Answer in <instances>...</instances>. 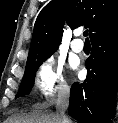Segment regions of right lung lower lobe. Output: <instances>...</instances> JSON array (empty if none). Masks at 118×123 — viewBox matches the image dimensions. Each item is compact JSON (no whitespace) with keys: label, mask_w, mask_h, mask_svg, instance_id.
Instances as JSON below:
<instances>
[{"label":"right lung lower lobe","mask_w":118,"mask_h":123,"mask_svg":"<svg viewBox=\"0 0 118 123\" xmlns=\"http://www.w3.org/2000/svg\"><path fill=\"white\" fill-rule=\"evenodd\" d=\"M84 83L71 87L69 114L80 123H109L118 89V29L92 42Z\"/></svg>","instance_id":"98d812e1"}]
</instances>
